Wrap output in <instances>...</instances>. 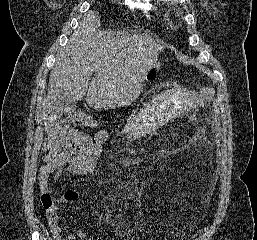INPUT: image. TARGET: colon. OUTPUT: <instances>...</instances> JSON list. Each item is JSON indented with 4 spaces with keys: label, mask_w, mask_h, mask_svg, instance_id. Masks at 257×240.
<instances>
[{
    "label": "colon",
    "mask_w": 257,
    "mask_h": 240,
    "mask_svg": "<svg viewBox=\"0 0 257 240\" xmlns=\"http://www.w3.org/2000/svg\"><path fill=\"white\" fill-rule=\"evenodd\" d=\"M157 71H158V68L151 69L147 75V79L151 80L155 78ZM213 94H214V91H213V88L211 87H204L203 89H201L199 108L197 110V115L194 116L193 118V123H192L194 128H196L197 117L202 113H204L208 103L213 97ZM41 202L47 211L52 212L56 216V210H57L56 202L51 194H43L41 197Z\"/></svg>",
    "instance_id": "5ec220e1"
}]
</instances>
